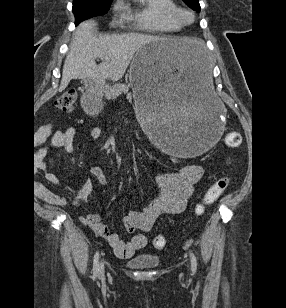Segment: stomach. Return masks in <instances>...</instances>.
<instances>
[{"mask_svg":"<svg viewBox=\"0 0 286 308\" xmlns=\"http://www.w3.org/2000/svg\"><path fill=\"white\" fill-rule=\"evenodd\" d=\"M213 55L202 40L190 36H160L142 44L133 58L130 87L140 125L153 132L149 144H159L168 159H195L213 144H223L224 108L213 91ZM84 104L96 113L105 106V85L85 81Z\"/></svg>","mask_w":286,"mask_h":308,"instance_id":"0dacf381","label":"stomach"}]
</instances>
